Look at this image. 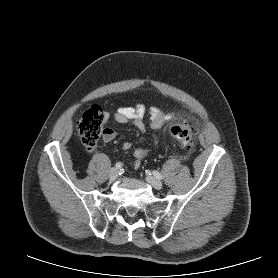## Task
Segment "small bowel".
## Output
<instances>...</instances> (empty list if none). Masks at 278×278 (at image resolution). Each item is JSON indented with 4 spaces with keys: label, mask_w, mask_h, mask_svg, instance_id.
<instances>
[{
    "label": "small bowel",
    "mask_w": 278,
    "mask_h": 278,
    "mask_svg": "<svg viewBox=\"0 0 278 278\" xmlns=\"http://www.w3.org/2000/svg\"><path fill=\"white\" fill-rule=\"evenodd\" d=\"M149 112L150 115V129L154 133L153 142L157 144L158 137L157 132L163 128V126L169 122L173 117V113H166L160 110L159 108L152 107L149 110L143 104H136L134 106H122L119 107L114 113V119L119 123H130L135 126L139 131L146 132L147 126L144 122V118ZM108 116H106V119ZM116 137L115 131L110 128H104L103 140L105 142H110ZM131 143L125 142L122 146L124 152H128L131 149ZM148 148L147 147H138L133 152L132 166L138 168L142 160L147 156Z\"/></svg>",
    "instance_id": "1"
}]
</instances>
